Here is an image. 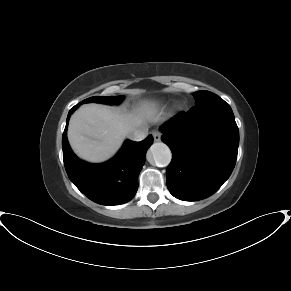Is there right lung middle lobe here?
<instances>
[{
  "mask_svg": "<svg viewBox=\"0 0 291 291\" xmlns=\"http://www.w3.org/2000/svg\"><path fill=\"white\" fill-rule=\"evenodd\" d=\"M124 96H107V97H100L94 96L88 99L83 100L78 105L83 103H90V102H98V103H105V104H119L123 101Z\"/></svg>",
  "mask_w": 291,
  "mask_h": 291,
  "instance_id": "right-lung-middle-lobe-1",
  "label": "right lung middle lobe"
}]
</instances>
